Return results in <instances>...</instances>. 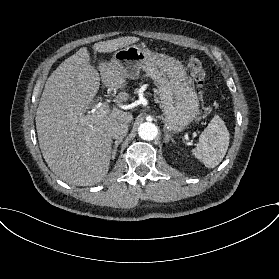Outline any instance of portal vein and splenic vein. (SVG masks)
Segmentation results:
<instances>
[{
    "label": "portal vein and splenic vein",
    "mask_w": 279,
    "mask_h": 279,
    "mask_svg": "<svg viewBox=\"0 0 279 279\" xmlns=\"http://www.w3.org/2000/svg\"><path fill=\"white\" fill-rule=\"evenodd\" d=\"M124 106H121V108H123ZM96 108L98 109V112L100 114H107L108 110L102 105V103H99L96 105ZM96 112V110H92L91 113Z\"/></svg>",
    "instance_id": "portal-vein-and-splenic-vein-1"
}]
</instances>
